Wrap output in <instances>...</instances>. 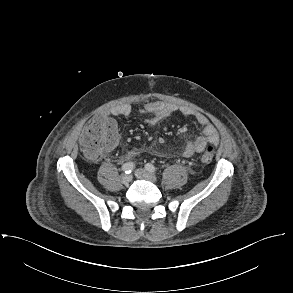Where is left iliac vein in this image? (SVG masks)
<instances>
[{"mask_svg": "<svg viewBox=\"0 0 293 293\" xmlns=\"http://www.w3.org/2000/svg\"><path fill=\"white\" fill-rule=\"evenodd\" d=\"M135 175L139 179H145V180H148L153 183L157 181V177L154 174H152L144 169H137L135 171Z\"/></svg>", "mask_w": 293, "mask_h": 293, "instance_id": "obj_1", "label": "left iliac vein"}]
</instances>
